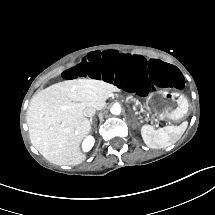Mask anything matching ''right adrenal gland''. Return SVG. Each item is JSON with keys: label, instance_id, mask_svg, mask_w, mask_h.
Instances as JSON below:
<instances>
[{"label": "right adrenal gland", "instance_id": "2a0ac1e0", "mask_svg": "<svg viewBox=\"0 0 215 215\" xmlns=\"http://www.w3.org/2000/svg\"><path fill=\"white\" fill-rule=\"evenodd\" d=\"M89 123L92 124V118H90ZM92 130V126H90V131Z\"/></svg>", "mask_w": 215, "mask_h": 215}]
</instances>
